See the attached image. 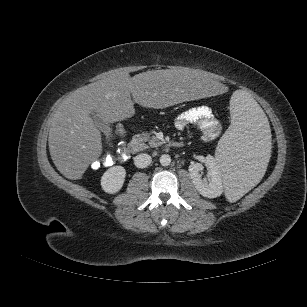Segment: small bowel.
Returning a JSON list of instances; mask_svg holds the SVG:
<instances>
[{
    "label": "small bowel",
    "mask_w": 307,
    "mask_h": 307,
    "mask_svg": "<svg viewBox=\"0 0 307 307\" xmlns=\"http://www.w3.org/2000/svg\"><path fill=\"white\" fill-rule=\"evenodd\" d=\"M189 125L198 127L203 133L204 140H212L218 137L222 131L221 123L215 118L208 106L193 107L175 120V127L179 131L185 130Z\"/></svg>",
    "instance_id": "small-bowel-1"
}]
</instances>
